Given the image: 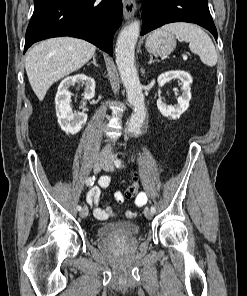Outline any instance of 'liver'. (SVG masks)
Listing matches in <instances>:
<instances>
[{
  "label": "liver",
  "instance_id": "liver-1",
  "mask_svg": "<svg viewBox=\"0 0 247 296\" xmlns=\"http://www.w3.org/2000/svg\"><path fill=\"white\" fill-rule=\"evenodd\" d=\"M95 50L88 41L72 37L47 39L33 47L26 56L25 69L38 99H44L53 83L85 65Z\"/></svg>",
  "mask_w": 247,
  "mask_h": 296
}]
</instances>
